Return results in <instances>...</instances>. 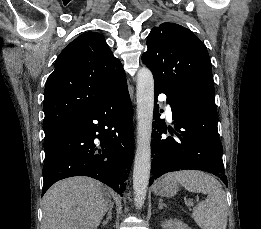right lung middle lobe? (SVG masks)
Segmentation results:
<instances>
[{
  "label": "right lung middle lobe",
  "instance_id": "1",
  "mask_svg": "<svg viewBox=\"0 0 261 229\" xmlns=\"http://www.w3.org/2000/svg\"><path fill=\"white\" fill-rule=\"evenodd\" d=\"M44 131H45V138L50 137L56 132L55 130H44Z\"/></svg>",
  "mask_w": 261,
  "mask_h": 229
}]
</instances>
